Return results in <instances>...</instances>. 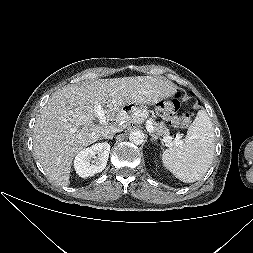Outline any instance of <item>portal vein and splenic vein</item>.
I'll return each mask as SVG.
<instances>
[{"mask_svg": "<svg viewBox=\"0 0 253 253\" xmlns=\"http://www.w3.org/2000/svg\"><path fill=\"white\" fill-rule=\"evenodd\" d=\"M94 112H95L97 118L99 119V123L100 124H105L106 120H107L106 112L103 110V108H102V106L100 104H96L95 105ZM147 130L149 132H153L154 131V127H153V125L151 123L148 124ZM163 141L169 143L171 141V137L170 136H165L163 138Z\"/></svg>", "mask_w": 253, "mask_h": 253, "instance_id": "1", "label": "portal vein and splenic vein"}]
</instances>
